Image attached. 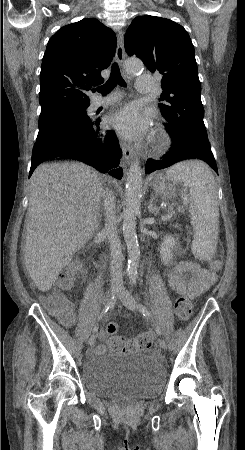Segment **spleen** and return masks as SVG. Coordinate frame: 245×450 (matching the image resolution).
Returning <instances> with one entry per match:
<instances>
[{
	"instance_id": "3e777b00",
	"label": "spleen",
	"mask_w": 245,
	"mask_h": 450,
	"mask_svg": "<svg viewBox=\"0 0 245 450\" xmlns=\"http://www.w3.org/2000/svg\"><path fill=\"white\" fill-rule=\"evenodd\" d=\"M166 176L189 188V213L194 232L192 253L210 260L216 251L219 233L217 187L209 167L201 161H185L170 167Z\"/></svg>"
}]
</instances>
